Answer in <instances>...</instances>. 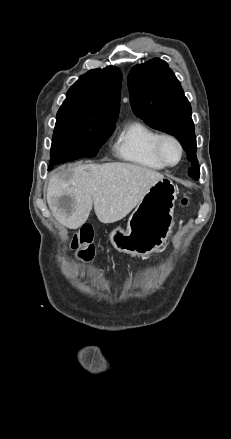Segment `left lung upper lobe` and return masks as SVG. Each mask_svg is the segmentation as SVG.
<instances>
[{
	"instance_id": "obj_1",
	"label": "left lung upper lobe",
	"mask_w": 231,
	"mask_h": 439,
	"mask_svg": "<svg viewBox=\"0 0 231 439\" xmlns=\"http://www.w3.org/2000/svg\"><path fill=\"white\" fill-rule=\"evenodd\" d=\"M127 80L134 113L150 127L180 141L191 162L188 174L198 180L200 169L191 106L172 70L165 61L155 58L134 66Z\"/></svg>"
}]
</instances>
